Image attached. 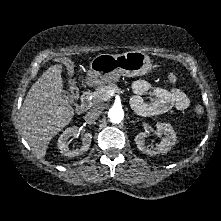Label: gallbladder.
Returning a JSON list of instances; mask_svg holds the SVG:
<instances>
[{"mask_svg": "<svg viewBox=\"0 0 221 221\" xmlns=\"http://www.w3.org/2000/svg\"><path fill=\"white\" fill-rule=\"evenodd\" d=\"M62 96L64 99H66V101H68L69 103H73L72 99H71V95L69 94L68 91H63Z\"/></svg>", "mask_w": 221, "mask_h": 221, "instance_id": "gallbladder-1", "label": "gallbladder"}]
</instances>
